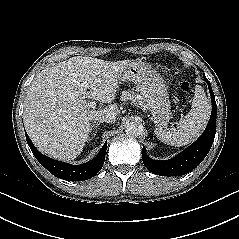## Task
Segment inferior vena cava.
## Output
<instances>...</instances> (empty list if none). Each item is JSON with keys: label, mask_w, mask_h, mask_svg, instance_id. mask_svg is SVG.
Masks as SVG:
<instances>
[{"label": "inferior vena cava", "mask_w": 239, "mask_h": 239, "mask_svg": "<svg viewBox=\"0 0 239 239\" xmlns=\"http://www.w3.org/2000/svg\"><path fill=\"white\" fill-rule=\"evenodd\" d=\"M93 120L100 122H107L109 124L115 123V117L111 115H96L93 117Z\"/></svg>", "instance_id": "1"}]
</instances>
